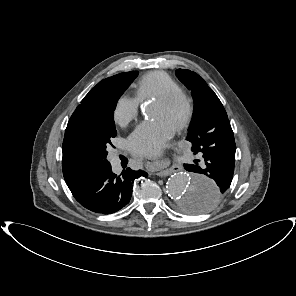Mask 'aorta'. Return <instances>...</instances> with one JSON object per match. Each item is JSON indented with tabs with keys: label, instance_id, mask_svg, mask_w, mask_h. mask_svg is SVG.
Wrapping results in <instances>:
<instances>
[{
	"label": "aorta",
	"instance_id": "aorta-1",
	"mask_svg": "<svg viewBox=\"0 0 296 296\" xmlns=\"http://www.w3.org/2000/svg\"><path fill=\"white\" fill-rule=\"evenodd\" d=\"M218 186L214 180L179 172L167 181L166 191L176 206L188 214H201L211 210L218 197Z\"/></svg>",
	"mask_w": 296,
	"mask_h": 296
}]
</instances>
